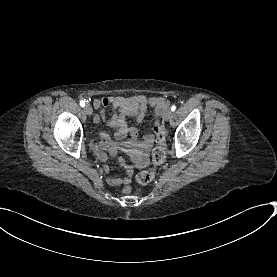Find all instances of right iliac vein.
<instances>
[{
  "instance_id": "1",
  "label": "right iliac vein",
  "mask_w": 277,
  "mask_h": 277,
  "mask_svg": "<svg viewBox=\"0 0 277 277\" xmlns=\"http://www.w3.org/2000/svg\"><path fill=\"white\" fill-rule=\"evenodd\" d=\"M84 112L87 114V115H92L93 113V109L90 105H86L85 108H84Z\"/></svg>"
}]
</instances>
